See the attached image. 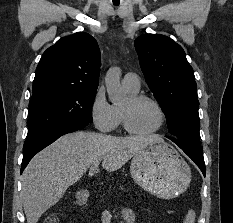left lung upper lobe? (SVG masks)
Instances as JSON below:
<instances>
[{"label":"left lung upper lobe","mask_w":233,"mask_h":223,"mask_svg":"<svg viewBox=\"0 0 233 223\" xmlns=\"http://www.w3.org/2000/svg\"><path fill=\"white\" fill-rule=\"evenodd\" d=\"M135 49L145 80L167 120L170 140L199 146V101L194 72L182 47L164 35L144 34Z\"/></svg>","instance_id":"5c2ea615"}]
</instances>
